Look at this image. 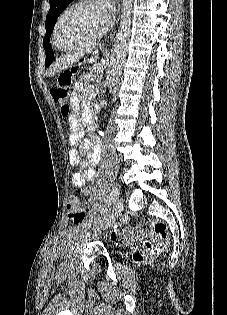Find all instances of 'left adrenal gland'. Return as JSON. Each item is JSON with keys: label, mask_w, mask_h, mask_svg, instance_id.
<instances>
[{"label": "left adrenal gland", "mask_w": 227, "mask_h": 315, "mask_svg": "<svg viewBox=\"0 0 227 315\" xmlns=\"http://www.w3.org/2000/svg\"><path fill=\"white\" fill-rule=\"evenodd\" d=\"M101 79H102V77H101V75L97 78V84H96V94H98L99 93V91H103L102 89H100V85H101Z\"/></svg>", "instance_id": "1"}]
</instances>
